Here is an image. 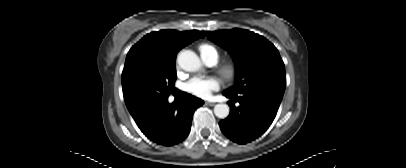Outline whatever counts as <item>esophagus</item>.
<instances>
[{"mask_svg":"<svg viewBox=\"0 0 406 168\" xmlns=\"http://www.w3.org/2000/svg\"><path fill=\"white\" fill-rule=\"evenodd\" d=\"M205 105H208V106H214V105H215V103H214V102H208V101H206V102H205Z\"/></svg>","mask_w":406,"mask_h":168,"instance_id":"34e87169","label":"esophagus"}]
</instances>
